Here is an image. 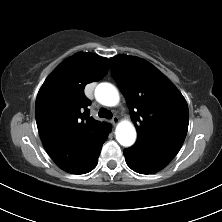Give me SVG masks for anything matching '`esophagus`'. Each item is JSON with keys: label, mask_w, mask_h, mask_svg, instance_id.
<instances>
[{"label": "esophagus", "mask_w": 222, "mask_h": 222, "mask_svg": "<svg viewBox=\"0 0 222 222\" xmlns=\"http://www.w3.org/2000/svg\"><path fill=\"white\" fill-rule=\"evenodd\" d=\"M118 122H119V118H118L117 116H114V117L112 118V123H113L114 125H116Z\"/></svg>", "instance_id": "obj_1"}]
</instances>
